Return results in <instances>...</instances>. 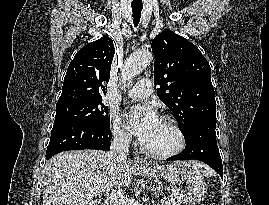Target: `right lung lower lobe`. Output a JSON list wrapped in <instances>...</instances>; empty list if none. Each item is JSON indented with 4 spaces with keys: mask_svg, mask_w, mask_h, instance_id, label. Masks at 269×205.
Listing matches in <instances>:
<instances>
[{
    "mask_svg": "<svg viewBox=\"0 0 269 205\" xmlns=\"http://www.w3.org/2000/svg\"><path fill=\"white\" fill-rule=\"evenodd\" d=\"M112 134L109 128L83 122H62L54 124L46 159L53 155L78 149L109 150Z\"/></svg>",
    "mask_w": 269,
    "mask_h": 205,
    "instance_id": "right-lung-lower-lobe-1",
    "label": "right lung lower lobe"
}]
</instances>
